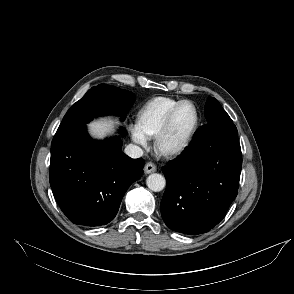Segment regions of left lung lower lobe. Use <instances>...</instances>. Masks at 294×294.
Wrapping results in <instances>:
<instances>
[{
  "label": "left lung lower lobe",
  "mask_w": 294,
  "mask_h": 294,
  "mask_svg": "<svg viewBox=\"0 0 294 294\" xmlns=\"http://www.w3.org/2000/svg\"><path fill=\"white\" fill-rule=\"evenodd\" d=\"M241 167L236 126H202L182 154L162 168L166 190L160 206L165 224L185 234L210 231L237 196Z\"/></svg>",
  "instance_id": "1"
}]
</instances>
